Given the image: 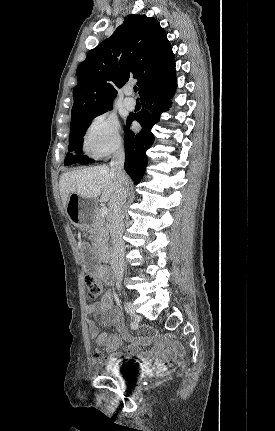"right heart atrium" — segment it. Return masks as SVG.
I'll return each instance as SVG.
<instances>
[{
  "label": "right heart atrium",
  "mask_w": 275,
  "mask_h": 431,
  "mask_svg": "<svg viewBox=\"0 0 275 431\" xmlns=\"http://www.w3.org/2000/svg\"><path fill=\"white\" fill-rule=\"evenodd\" d=\"M122 146L120 124L114 114L103 112L91 120L83 137V149L89 156L102 158Z\"/></svg>",
  "instance_id": "right-heart-atrium-1"
}]
</instances>
